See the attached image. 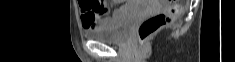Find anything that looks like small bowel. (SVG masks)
I'll return each instance as SVG.
<instances>
[{"mask_svg": "<svg viewBox=\"0 0 235 62\" xmlns=\"http://www.w3.org/2000/svg\"><path fill=\"white\" fill-rule=\"evenodd\" d=\"M92 1H80L82 23L85 29L92 30L109 20L108 2L102 1L98 8L92 6Z\"/></svg>", "mask_w": 235, "mask_h": 62, "instance_id": "small-bowel-1", "label": "small bowel"}]
</instances>
